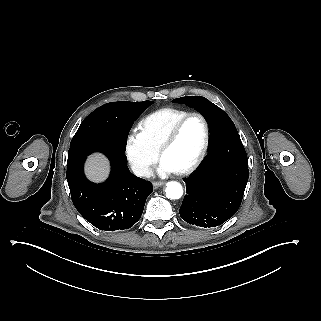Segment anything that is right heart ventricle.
<instances>
[{"label":"right heart ventricle","instance_id":"obj_1","mask_svg":"<svg viewBox=\"0 0 321 321\" xmlns=\"http://www.w3.org/2000/svg\"><path fill=\"white\" fill-rule=\"evenodd\" d=\"M190 113V111L178 107L160 108L142 118L139 128L148 142L157 149L172 125Z\"/></svg>","mask_w":321,"mask_h":321}]
</instances>
